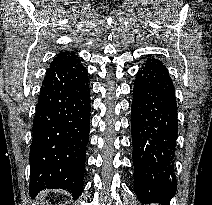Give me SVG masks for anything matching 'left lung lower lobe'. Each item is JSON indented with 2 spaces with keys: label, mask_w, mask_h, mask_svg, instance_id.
<instances>
[{
  "label": "left lung lower lobe",
  "mask_w": 212,
  "mask_h": 205,
  "mask_svg": "<svg viewBox=\"0 0 212 205\" xmlns=\"http://www.w3.org/2000/svg\"><path fill=\"white\" fill-rule=\"evenodd\" d=\"M131 128L137 197L143 203L170 205L177 187L172 169L177 104L171 77L158 59L148 58L136 75Z\"/></svg>",
  "instance_id": "0a47b994"
}]
</instances>
